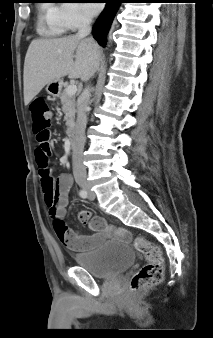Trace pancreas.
Wrapping results in <instances>:
<instances>
[{"label":"pancreas","mask_w":213,"mask_h":338,"mask_svg":"<svg viewBox=\"0 0 213 338\" xmlns=\"http://www.w3.org/2000/svg\"><path fill=\"white\" fill-rule=\"evenodd\" d=\"M59 98L62 104V110L65 114L64 120L66 121V126L68 131L75 125V114H76V103L75 96L68 95L66 89H64L60 94Z\"/></svg>","instance_id":"cf45deb5"}]
</instances>
